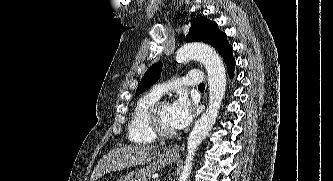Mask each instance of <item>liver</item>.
<instances>
[{
	"label": "liver",
	"mask_w": 333,
	"mask_h": 181,
	"mask_svg": "<svg viewBox=\"0 0 333 181\" xmlns=\"http://www.w3.org/2000/svg\"><path fill=\"white\" fill-rule=\"evenodd\" d=\"M158 151V147L147 145L115 148L98 162L90 181H96L107 173L148 164L153 159L154 153Z\"/></svg>",
	"instance_id": "liver-1"
}]
</instances>
